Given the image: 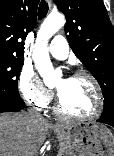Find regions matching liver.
<instances>
[{
    "label": "liver",
    "mask_w": 114,
    "mask_h": 156,
    "mask_svg": "<svg viewBox=\"0 0 114 156\" xmlns=\"http://www.w3.org/2000/svg\"><path fill=\"white\" fill-rule=\"evenodd\" d=\"M52 127L27 113L0 114V156H35Z\"/></svg>",
    "instance_id": "obj_1"
}]
</instances>
